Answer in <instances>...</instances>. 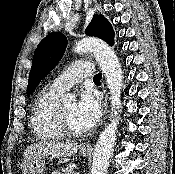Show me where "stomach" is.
<instances>
[{"instance_id":"stomach-1","label":"stomach","mask_w":175,"mask_h":174,"mask_svg":"<svg viewBox=\"0 0 175 174\" xmlns=\"http://www.w3.org/2000/svg\"><path fill=\"white\" fill-rule=\"evenodd\" d=\"M81 155L88 156L90 152L81 150ZM45 167L44 157L42 155L32 156L29 159H24L21 164L23 174H42Z\"/></svg>"}]
</instances>
